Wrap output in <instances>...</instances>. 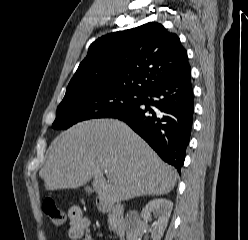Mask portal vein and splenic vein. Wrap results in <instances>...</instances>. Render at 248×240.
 I'll list each match as a JSON object with an SVG mask.
<instances>
[{"label":"portal vein and splenic vein","mask_w":248,"mask_h":240,"mask_svg":"<svg viewBox=\"0 0 248 240\" xmlns=\"http://www.w3.org/2000/svg\"><path fill=\"white\" fill-rule=\"evenodd\" d=\"M104 173H105L106 175H108L109 171H108V170H104Z\"/></svg>","instance_id":"18ae733b"}]
</instances>
